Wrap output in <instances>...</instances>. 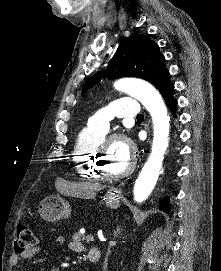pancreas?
<instances>
[{"label": "pancreas", "mask_w": 221, "mask_h": 271, "mask_svg": "<svg viewBox=\"0 0 221 271\" xmlns=\"http://www.w3.org/2000/svg\"><path fill=\"white\" fill-rule=\"evenodd\" d=\"M72 242H83V237H72Z\"/></svg>", "instance_id": "pancreas-1"}]
</instances>
